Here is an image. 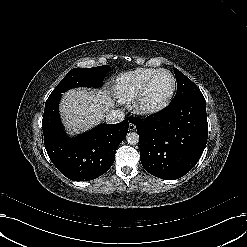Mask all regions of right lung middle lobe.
<instances>
[{"label": "right lung middle lobe", "mask_w": 247, "mask_h": 247, "mask_svg": "<svg viewBox=\"0 0 247 247\" xmlns=\"http://www.w3.org/2000/svg\"><path fill=\"white\" fill-rule=\"evenodd\" d=\"M109 69L108 65L94 68H74L61 80L49 97L62 95L74 87H100L102 79Z\"/></svg>", "instance_id": "right-lung-middle-lobe-1"}]
</instances>
